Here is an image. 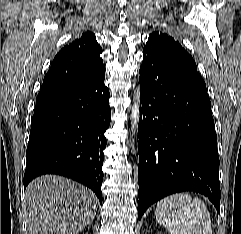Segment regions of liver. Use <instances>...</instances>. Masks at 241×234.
I'll return each instance as SVG.
<instances>
[{
	"label": "liver",
	"instance_id": "obj_1",
	"mask_svg": "<svg viewBox=\"0 0 241 234\" xmlns=\"http://www.w3.org/2000/svg\"><path fill=\"white\" fill-rule=\"evenodd\" d=\"M25 202L29 234H77L94 219L98 207L91 190L56 175L34 179Z\"/></svg>",
	"mask_w": 241,
	"mask_h": 234
}]
</instances>
